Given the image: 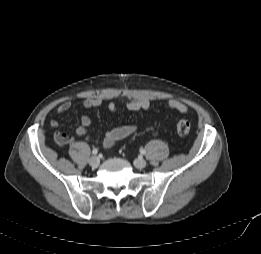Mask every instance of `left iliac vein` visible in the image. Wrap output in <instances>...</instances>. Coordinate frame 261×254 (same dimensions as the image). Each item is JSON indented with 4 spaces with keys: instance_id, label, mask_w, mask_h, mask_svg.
<instances>
[{
    "instance_id": "left-iliac-vein-1",
    "label": "left iliac vein",
    "mask_w": 261,
    "mask_h": 254,
    "mask_svg": "<svg viewBox=\"0 0 261 254\" xmlns=\"http://www.w3.org/2000/svg\"><path fill=\"white\" fill-rule=\"evenodd\" d=\"M134 166L138 169H143L146 167V161L142 157H138L134 160Z\"/></svg>"
}]
</instances>
